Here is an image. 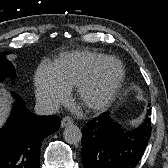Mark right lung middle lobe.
<instances>
[{"label":"right lung middle lobe","mask_w":168,"mask_h":168,"mask_svg":"<svg viewBox=\"0 0 168 168\" xmlns=\"http://www.w3.org/2000/svg\"><path fill=\"white\" fill-rule=\"evenodd\" d=\"M8 52L0 53V81L5 80L6 78L15 77V68L12 63L6 59Z\"/></svg>","instance_id":"dd1d6c3e"}]
</instances>
